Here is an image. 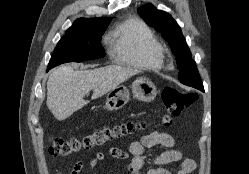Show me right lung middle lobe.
<instances>
[{
  "label": "right lung middle lobe",
  "instance_id": "1",
  "mask_svg": "<svg viewBox=\"0 0 249 174\" xmlns=\"http://www.w3.org/2000/svg\"><path fill=\"white\" fill-rule=\"evenodd\" d=\"M108 25L109 22L93 23L84 28L66 32L56 46L48 64V70L66 62H83L104 57L105 51L101 46V38Z\"/></svg>",
  "mask_w": 249,
  "mask_h": 174
}]
</instances>
